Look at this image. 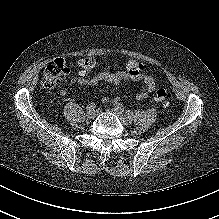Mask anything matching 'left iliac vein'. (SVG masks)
<instances>
[{
    "instance_id": "obj_1",
    "label": "left iliac vein",
    "mask_w": 219,
    "mask_h": 219,
    "mask_svg": "<svg viewBox=\"0 0 219 219\" xmlns=\"http://www.w3.org/2000/svg\"><path fill=\"white\" fill-rule=\"evenodd\" d=\"M111 111L120 119L124 125H129L132 122V118L126 115L119 107L115 106Z\"/></svg>"
}]
</instances>
